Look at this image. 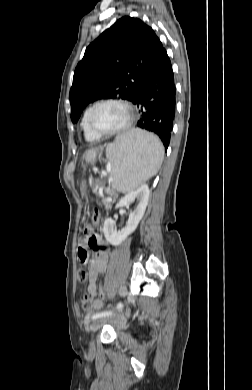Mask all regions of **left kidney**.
<instances>
[{
	"instance_id": "left-kidney-1",
	"label": "left kidney",
	"mask_w": 252,
	"mask_h": 390,
	"mask_svg": "<svg viewBox=\"0 0 252 390\" xmlns=\"http://www.w3.org/2000/svg\"><path fill=\"white\" fill-rule=\"evenodd\" d=\"M149 188L146 184L141 185L135 191L127 194L123 197L119 203L116 205V208L129 206L136 199L138 201L137 206L129 214L127 225L121 231H117L115 228V221L112 218H107L104 222L103 232L106 240L114 245H120L132 232L137 228L140 220L142 219L144 212L146 210L149 198Z\"/></svg>"
}]
</instances>
